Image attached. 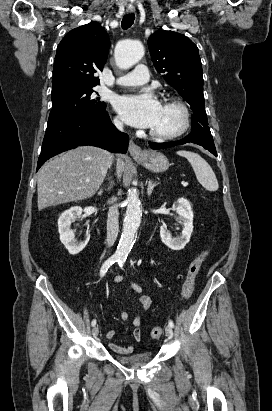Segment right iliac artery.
Here are the masks:
<instances>
[{"label":"right iliac artery","mask_w":272,"mask_h":411,"mask_svg":"<svg viewBox=\"0 0 272 411\" xmlns=\"http://www.w3.org/2000/svg\"><path fill=\"white\" fill-rule=\"evenodd\" d=\"M117 261H119V258H118V257H115V256H112V257H110L109 259H107V260L103 263V265H102V267H101V269H100V276L103 277V276L106 274V272L108 271V269L110 268V266H112V265H113L115 262H117ZM91 325H92V326H95V325H96V320H95V319L91 322Z\"/></svg>","instance_id":"right-iliac-artery-1"}]
</instances>
